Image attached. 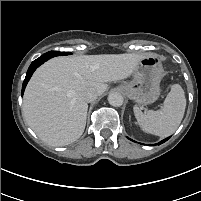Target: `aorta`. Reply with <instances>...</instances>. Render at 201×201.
Masks as SVG:
<instances>
[{
  "mask_svg": "<svg viewBox=\"0 0 201 201\" xmlns=\"http://www.w3.org/2000/svg\"><path fill=\"white\" fill-rule=\"evenodd\" d=\"M108 102L114 107H120L123 104V97L120 93L111 92L108 95Z\"/></svg>",
  "mask_w": 201,
  "mask_h": 201,
  "instance_id": "aorta-1",
  "label": "aorta"
}]
</instances>
